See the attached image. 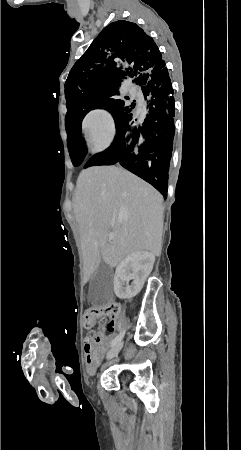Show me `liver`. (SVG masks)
Wrapping results in <instances>:
<instances>
[{
    "label": "liver",
    "instance_id": "6515ba94",
    "mask_svg": "<svg viewBox=\"0 0 241 450\" xmlns=\"http://www.w3.org/2000/svg\"><path fill=\"white\" fill-rule=\"evenodd\" d=\"M163 196L131 172L115 166H94L80 172L74 214L80 230L84 278L102 260L115 268L123 258L149 250L160 256ZM113 232V240L109 234Z\"/></svg>",
    "mask_w": 241,
    "mask_h": 450
}]
</instances>
